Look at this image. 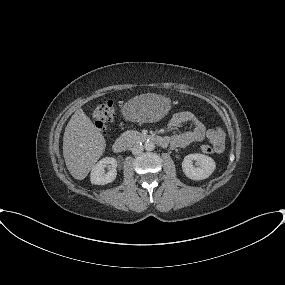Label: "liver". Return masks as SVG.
<instances>
[{
	"instance_id": "6515ba94",
	"label": "liver",
	"mask_w": 285,
	"mask_h": 285,
	"mask_svg": "<svg viewBox=\"0 0 285 285\" xmlns=\"http://www.w3.org/2000/svg\"><path fill=\"white\" fill-rule=\"evenodd\" d=\"M105 138L79 108L68 122L63 136V156L70 174L83 180L105 150Z\"/></svg>"
}]
</instances>
